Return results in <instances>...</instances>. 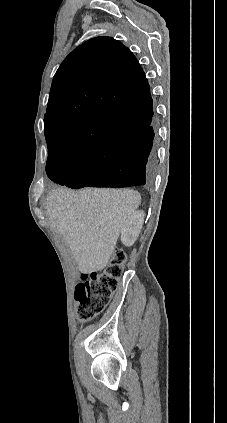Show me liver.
Returning <instances> with one entry per match:
<instances>
[{
  "label": "liver",
  "mask_w": 227,
  "mask_h": 423,
  "mask_svg": "<svg viewBox=\"0 0 227 423\" xmlns=\"http://www.w3.org/2000/svg\"><path fill=\"white\" fill-rule=\"evenodd\" d=\"M140 204L134 190L59 188L49 194L47 217L66 239L78 269L92 273L109 263L126 219Z\"/></svg>",
  "instance_id": "liver-1"
}]
</instances>
